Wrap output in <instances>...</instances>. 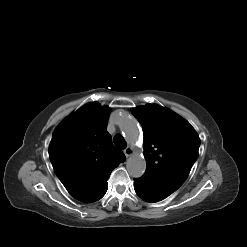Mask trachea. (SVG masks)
Here are the masks:
<instances>
[{"label": "trachea", "mask_w": 247, "mask_h": 247, "mask_svg": "<svg viewBox=\"0 0 247 247\" xmlns=\"http://www.w3.org/2000/svg\"><path fill=\"white\" fill-rule=\"evenodd\" d=\"M113 142L120 149L126 148V141L121 135H116Z\"/></svg>", "instance_id": "3493384b"}]
</instances>
